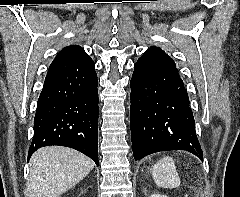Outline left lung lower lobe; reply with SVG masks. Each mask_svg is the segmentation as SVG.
<instances>
[{
	"label": "left lung lower lobe",
	"instance_id": "left-lung-lower-lobe-1",
	"mask_svg": "<svg viewBox=\"0 0 240 197\" xmlns=\"http://www.w3.org/2000/svg\"><path fill=\"white\" fill-rule=\"evenodd\" d=\"M131 140L135 160L168 150H186L203 160L189 98L179 73L134 66Z\"/></svg>",
	"mask_w": 240,
	"mask_h": 197
}]
</instances>
